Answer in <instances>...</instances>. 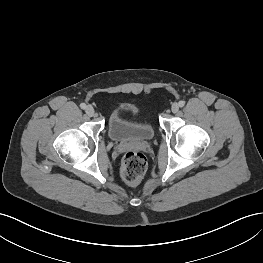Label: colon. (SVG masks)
<instances>
[{"label": "colon", "instance_id": "5ec220e1", "mask_svg": "<svg viewBox=\"0 0 263 263\" xmlns=\"http://www.w3.org/2000/svg\"><path fill=\"white\" fill-rule=\"evenodd\" d=\"M146 170L147 159L143 153L129 151L123 156L120 173L126 184L130 186L138 185L143 179Z\"/></svg>", "mask_w": 263, "mask_h": 263}]
</instances>
